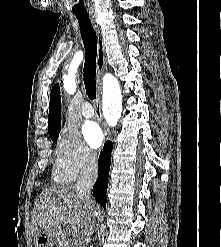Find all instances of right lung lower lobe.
I'll return each mask as SVG.
<instances>
[{
	"instance_id": "right-lung-lower-lobe-1",
	"label": "right lung lower lobe",
	"mask_w": 221,
	"mask_h": 247,
	"mask_svg": "<svg viewBox=\"0 0 221 247\" xmlns=\"http://www.w3.org/2000/svg\"><path fill=\"white\" fill-rule=\"evenodd\" d=\"M113 149V144L111 141H106L99 156V167H98V178L93 187V195L101 204V206L106 208V192L108 187V177L111 162V152Z\"/></svg>"
}]
</instances>
